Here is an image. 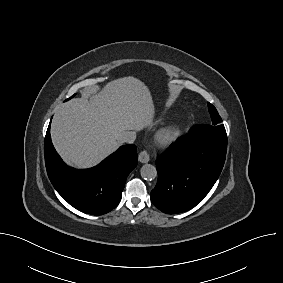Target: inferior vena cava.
I'll list each match as a JSON object with an SVG mask.
<instances>
[{"label": "inferior vena cava", "mask_w": 283, "mask_h": 283, "mask_svg": "<svg viewBox=\"0 0 283 283\" xmlns=\"http://www.w3.org/2000/svg\"><path fill=\"white\" fill-rule=\"evenodd\" d=\"M135 139H136L135 131H125L118 138L120 143H133Z\"/></svg>", "instance_id": "1"}]
</instances>
